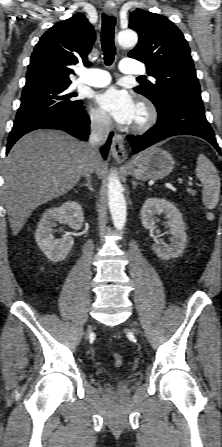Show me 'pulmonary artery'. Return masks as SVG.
Wrapping results in <instances>:
<instances>
[{
  "instance_id": "obj_1",
  "label": "pulmonary artery",
  "mask_w": 222,
  "mask_h": 447,
  "mask_svg": "<svg viewBox=\"0 0 222 447\" xmlns=\"http://www.w3.org/2000/svg\"><path fill=\"white\" fill-rule=\"evenodd\" d=\"M120 71L124 75H142L145 73L143 64L134 59H124L120 65ZM111 82L110 74L102 69H81L80 78L76 85L82 84L90 87H104Z\"/></svg>"
}]
</instances>
